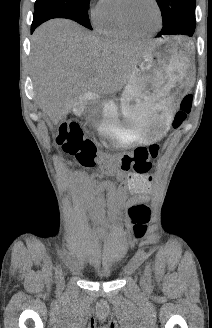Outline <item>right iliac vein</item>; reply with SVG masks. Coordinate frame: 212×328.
<instances>
[{"label":"right iliac vein","mask_w":212,"mask_h":328,"mask_svg":"<svg viewBox=\"0 0 212 328\" xmlns=\"http://www.w3.org/2000/svg\"><path fill=\"white\" fill-rule=\"evenodd\" d=\"M63 282H64V277H63V274L61 273L59 276V279H58V284L61 285V284H63Z\"/></svg>","instance_id":"1"}]
</instances>
